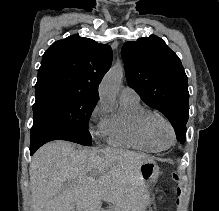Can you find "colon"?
<instances>
[{
    "label": "colon",
    "instance_id": "5ec220e1",
    "mask_svg": "<svg viewBox=\"0 0 219 211\" xmlns=\"http://www.w3.org/2000/svg\"><path fill=\"white\" fill-rule=\"evenodd\" d=\"M172 177L175 181H177L179 179V176L176 173H173ZM177 192L180 193V190L178 189Z\"/></svg>",
    "mask_w": 219,
    "mask_h": 211
}]
</instances>
